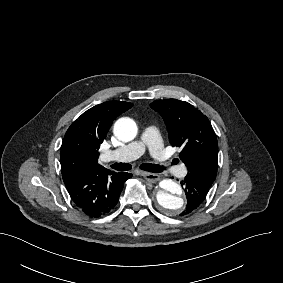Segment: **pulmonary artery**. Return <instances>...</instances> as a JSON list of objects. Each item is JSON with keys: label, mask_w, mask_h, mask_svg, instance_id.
Listing matches in <instances>:
<instances>
[{"label": "pulmonary artery", "mask_w": 283, "mask_h": 283, "mask_svg": "<svg viewBox=\"0 0 283 283\" xmlns=\"http://www.w3.org/2000/svg\"><path fill=\"white\" fill-rule=\"evenodd\" d=\"M114 135L121 142H130L137 135V126L130 119H121L114 126ZM161 128L159 126H146L142 128L140 140L131 145H126L124 150L105 151L103 153V160L112 163H124L139 159L143 156L144 151L150 146L151 152L154 156L163 154L165 152V145L161 142ZM177 175L179 177H186L188 175V168L184 165L177 168Z\"/></svg>", "instance_id": "e3ab8cb5"}]
</instances>
